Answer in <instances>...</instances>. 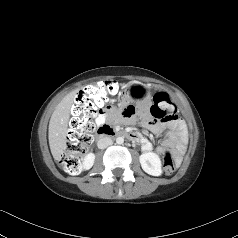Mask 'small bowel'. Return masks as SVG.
<instances>
[{
  "label": "small bowel",
  "mask_w": 238,
  "mask_h": 238,
  "mask_svg": "<svg viewBox=\"0 0 238 238\" xmlns=\"http://www.w3.org/2000/svg\"><path fill=\"white\" fill-rule=\"evenodd\" d=\"M122 113L124 117L131 119L135 117L137 110L135 106L128 104L124 106ZM139 113L142 117V125L153 133L161 134L168 128L162 144L157 148V153L164 154L166 151L170 150L175 154L180 155L184 151L187 144V131L185 124L180 119L175 118L168 123H162L157 118L150 119L145 104L140 106ZM112 115L113 112L110 110L99 112L96 116L97 125H104ZM135 134L138 136L137 142L141 144L143 151H151V142L140 133Z\"/></svg>",
  "instance_id": "1"
}]
</instances>
